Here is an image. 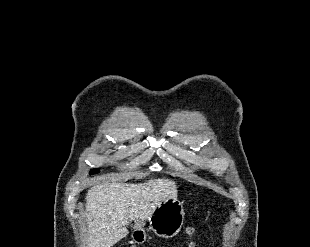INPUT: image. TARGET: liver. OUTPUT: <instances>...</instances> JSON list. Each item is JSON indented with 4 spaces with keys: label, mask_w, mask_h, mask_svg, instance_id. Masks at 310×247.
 <instances>
[{
    "label": "liver",
    "mask_w": 310,
    "mask_h": 247,
    "mask_svg": "<svg viewBox=\"0 0 310 247\" xmlns=\"http://www.w3.org/2000/svg\"><path fill=\"white\" fill-rule=\"evenodd\" d=\"M173 180L152 179L141 184L103 183L86 194V247H112L128 234L127 225H145L155 208L166 199L177 198Z\"/></svg>",
    "instance_id": "obj_1"
}]
</instances>
